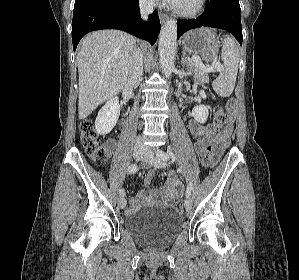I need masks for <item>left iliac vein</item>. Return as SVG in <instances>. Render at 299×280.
Instances as JSON below:
<instances>
[{"instance_id": "4c4485c4", "label": "left iliac vein", "mask_w": 299, "mask_h": 280, "mask_svg": "<svg viewBox=\"0 0 299 280\" xmlns=\"http://www.w3.org/2000/svg\"><path fill=\"white\" fill-rule=\"evenodd\" d=\"M142 160L153 165L156 168H165L166 167V162L163 159H161L157 154H154V152L150 149H148L145 152V155L142 158ZM184 207L186 210H190L192 207V201L189 196L186 197V199L184 201Z\"/></svg>"}]
</instances>
